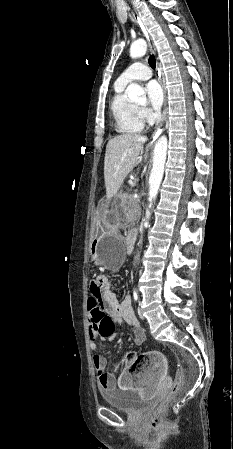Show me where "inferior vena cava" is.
Instances as JSON below:
<instances>
[{"label":"inferior vena cava","instance_id":"1","mask_svg":"<svg viewBox=\"0 0 233 449\" xmlns=\"http://www.w3.org/2000/svg\"><path fill=\"white\" fill-rule=\"evenodd\" d=\"M155 118H156V120H157V123L160 121V119H161V114H160V112H156L155 113Z\"/></svg>","mask_w":233,"mask_h":449}]
</instances>
